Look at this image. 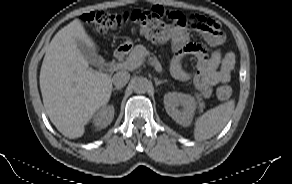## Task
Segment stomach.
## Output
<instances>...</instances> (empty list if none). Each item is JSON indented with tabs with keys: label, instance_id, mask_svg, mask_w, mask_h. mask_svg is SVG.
<instances>
[{
	"label": "stomach",
	"instance_id": "obj_1",
	"mask_svg": "<svg viewBox=\"0 0 292 184\" xmlns=\"http://www.w3.org/2000/svg\"><path fill=\"white\" fill-rule=\"evenodd\" d=\"M131 45H133V42L130 39L126 40L124 44H122V46H131Z\"/></svg>",
	"mask_w": 292,
	"mask_h": 184
}]
</instances>
